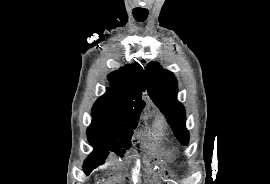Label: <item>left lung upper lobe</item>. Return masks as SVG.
Here are the masks:
<instances>
[{
  "mask_svg": "<svg viewBox=\"0 0 270 184\" xmlns=\"http://www.w3.org/2000/svg\"><path fill=\"white\" fill-rule=\"evenodd\" d=\"M146 73L149 96L167 118L177 139L187 145L189 133L185 126V109L177 100V82L173 73L164 70L157 62H150Z\"/></svg>",
  "mask_w": 270,
  "mask_h": 184,
  "instance_id": "1",
  "label": "left lung upper lobe"
}]
</instances>
